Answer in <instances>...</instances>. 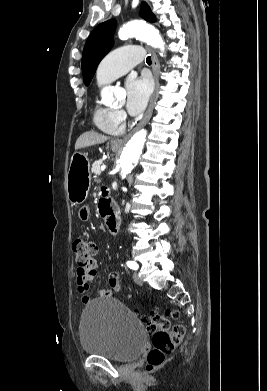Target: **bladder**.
<instances>
[{"label": "bladder", "mask_w": 267, "mask_h": 391, "mask_svg": "<svg viewBox=\"0 0 267 391\" xmlns=\"http://www.w3.org/2000/svg\"><path fill=\"white\" fill-rule=\"evenodd\" d=\"M145 340L140 321L115 298L93 302L82 313L80 343L86 354L128 362L140 355Z\"/></svg>", "instance_id": "obj_1"}]
</instances>
